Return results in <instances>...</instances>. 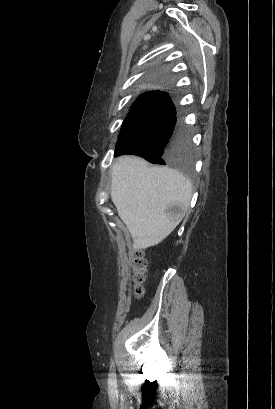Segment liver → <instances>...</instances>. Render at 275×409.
<instances>
[{
  "instance_id": "6515ba94",
  "label": "liver",
  "mask_w": 275,
  "mask_h": 409,
  "mask_svg": "<svg viewBox=\"0 0 275 409\" xmlns=\"http://www.w3.org/2000/svg\"><path fill=\"white\" fill-rule=\"evenodd\" d=\"M111 198L135 249H148L166 239L180 221H169L165 209L176 202L186 211L192 184L168 166H148L140 156H119L112 166Z\"/></svg>"
}]
</instances>
